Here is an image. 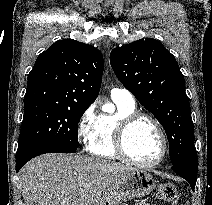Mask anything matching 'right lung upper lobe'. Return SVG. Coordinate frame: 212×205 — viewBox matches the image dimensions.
I'll list each match as a JSON object with an SVG mask.
<instances>
[{"label":"right lung upper lobe","mask_w":212,"mask_h":205,"mask_svg":"<svg viewBox=\"0 0 212 205\" xmlns=\"http://www.w3.org/2000/svg\"><path fill=\"white\" fill-rule=\"evenodd\" d=\"M103 56L91 45L60 40L42 52L28 75L24 103L90 106L98 96Z\"/></svg>","instance_id":"cb5924a9"}]
</instances>
